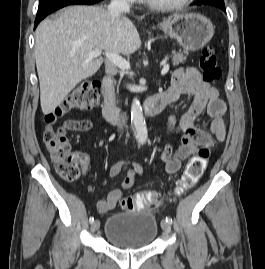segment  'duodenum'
Returning a JSON list of instances; mask_svg holds the SVG:
<instances>
[{
    "instance_id": "410a0bca",
    "label": "duodenum",
    "mask_w": 265,
    "mask_h": 269,
    "mask_svg": "<svg viewBox=\"0 0 265 269\" xmlns=\"http://www.w3.org/2000/svg\"><path fill=\"white\" fill-rule=\"evenodd\" d=\"M104 85V104H103V115L111 123L118 124L126 117L127 113L122 111L116 105V93L114 88V82L112 72L103 79ZM165 107V101L162 94H157L150 97L144 104L145 112L150 115H157Z\"/></svg>"
}]
</instances>
